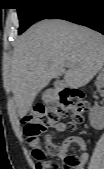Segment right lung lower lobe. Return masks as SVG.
I'll use <instances>...</instances> for the list:
<instances>
[{
    "label": "right lung lower lobe",
    "mask_w": 104,
    "mask_h": 169,
    "mask_svg": "<svg viewBox=\"0 0 104 169\" xmlns=\"http://www.w3.org/2000/svg\"><path fill=\"white\" fill-rule=\"evenodd\" d=\"M47 19H64L104 34V0H73Z\"/></svg>",
    "instance_id": "obj_1"
}]
</instances>
